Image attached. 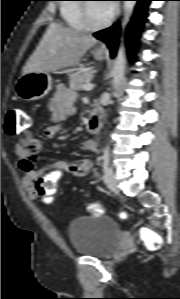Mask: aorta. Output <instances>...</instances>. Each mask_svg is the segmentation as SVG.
Here are the masks:
<instances>
[{
    "mask_svg": "<svg viewBox=\"0 0 180 299\" xmlns=\"http://www.w3.org/2000/svg\"><path fill=\"white\" fill-rule=\"evenodd\" d=\"M135 4H136L135 1H124V14H123V19L121 24L120 46L114 60V67L112 71V77H113L112 86H113L114 93L119 88L124 77L126 56H125V49L123 46V34L129 22V19L132 15Z\"/></svg>",
    "mask_w": 180,
    "mask_h": 299,
    "instance_id": "obj_1",
    "label": "aorta"
}]
</instances>
